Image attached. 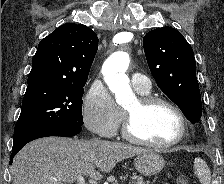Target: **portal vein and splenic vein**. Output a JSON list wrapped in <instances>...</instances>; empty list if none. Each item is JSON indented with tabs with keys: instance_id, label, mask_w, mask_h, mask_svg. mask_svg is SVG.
<instances>
[{
	"instance_id": "portal-vein-and-splenic-vein-1",
	"label": "portal vein and splenic vein",
	"mask_w": 224,
	"mask_h": 184,
	"mask_svg": "<svg viewBox=\"0 0 224 184\" xmlns=\"http://www.w3.org/2000/svg\"><path fill=\"white\" fill-rule=\"evenodd\" d=\"M77 182L78 184H87L85 183L84 177L81 175L77 177Z\"/></svg>"
}]
</instances>
